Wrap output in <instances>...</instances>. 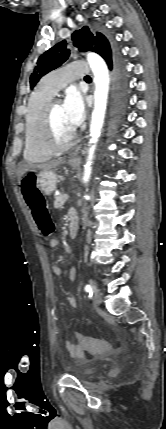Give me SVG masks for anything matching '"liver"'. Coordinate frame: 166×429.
<instances>
[{
    "label": "liver",
    "instance_id": "6515ba94",
    "mask_svg": "<svg viewBox=\"0 0 166 429\" xmlns=\"http://www.w3.org/2000/svg\"><path fill=\"white\" fill-rule=\"evenodd\" d=\"M64 162L63 159H57V160H52L50 162H47L45 164H22L17 171V175H18V179L19 181L21 180L22 176L28 172V171H36V170H41V171H47V170H51L53 168L58 167L60 164H62Z\"/></svg>",
    "mask_w": 166,
    "mask_h": 429
}]
</instances>
